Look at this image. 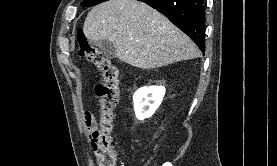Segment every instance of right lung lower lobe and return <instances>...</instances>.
Wrapping results in <instances>:
<instances>
[{"mask_svg":"<svg viewBox=\"0 0 277 166\" xmlns=\"http://www.w3.org/2000/svg\"><path fill=\"white\" fill-rule=\"evenodd\" d=\"M164 14L204 52V0H139Z\"/></svg>","mask_w":277,"mask_h":166,"instance_id":"obj_1","label":"right lung lower lobe"}]
</instances>
